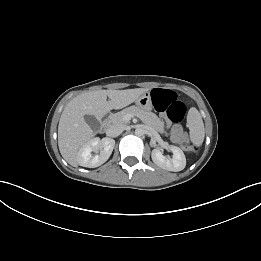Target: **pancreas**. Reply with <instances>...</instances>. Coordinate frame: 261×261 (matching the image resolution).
Returning <instances> with one entry per match:
<instances>
[{
    "instance_id": "pancreas-1",
    "label": "pancreas",
    "mask_w": 261,
    "mask_h": 261,
    "mask_svg": "<svg viewBox=\"0 0 261 261\" xmlns=\"http://www.w3.org/2000/svg\"><path fill=\"white\" fill-rule=\"evenodd\" d=\"M127 114L139 116L147 126L161 133L164 132V122L161 121L156 114L150 111H144L137 106H130L118 113L112 114L108 120L110 123H127L128 121L124 119V116Z\"/></svg>"
}]
</instances>
